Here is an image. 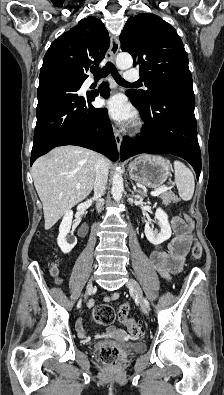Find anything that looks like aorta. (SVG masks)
Wrapping results in <instances>:
<instances>
[{"label": "aorta", "instance_id": "aorta-1", "mask_svg": "<svg viewBox=\"0 0 224 395\" xmlns=\"http://www.w3.org/2000/svg\"><path fill=\"white\" fill-rule=\"evenodd\" d=\"M116 65L121 70H126L132 67L133 59L129 53H120L116 57ZM124 190L123 178L120 174V167L116 168V172L112 178L111 194L115 201H120L122 192Z\"/></svg>", "mask_w": 224, "mask_h": 395}]
</instances>
